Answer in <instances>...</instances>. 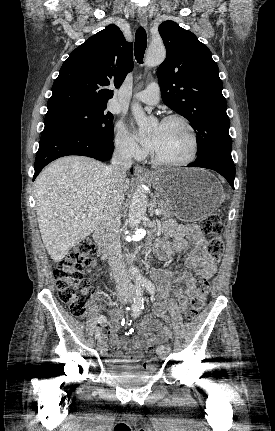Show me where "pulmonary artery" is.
<instances>
[{"instance_id": "pulmonary-artery-1", "label": "pulmonary artery", "mask_w": 275, "mask_h": 431, "mask_svg": "<svg viewBox=\"0 0 275 431\" xmlns=\"http://www.w3.org/2000/svg\"><path fill=\"white\" fill-rule=\"evenodd\" d=\"M134 98L148 105L157 104L160 100L159 85L155 82L149 84L145 90L137 93Z\"/></svg>"}]
</instances>
